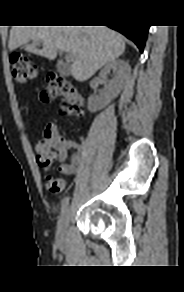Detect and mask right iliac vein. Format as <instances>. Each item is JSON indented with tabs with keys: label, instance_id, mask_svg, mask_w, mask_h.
Segmentation results:
<instances>
[{
	"label": "right iliac vein",
	"instance_id": "1",
	"mask_svg": "<svg viewBox=\"0 0 184 292\" xmlns=\"http://www.w3.org/2000/svg\"><path fill=\"white\" fill-rule=\"evenodd\" d=\"M69 219H70V209H66L65 212L60 217L58 225H57V240L60 242L64 241L66 237Z\"/></svg>",
	"mask_w": 184,
	"mask_h": 292
}]
</instances>
